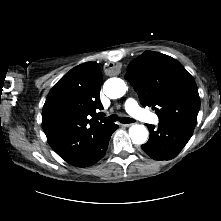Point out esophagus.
Here are the masks:
<instances>
[{"instance_id":"esophagus-1","label":"esophagus","mask_w":221,"mask_h":221,"mask_svg":"<svg viewBox=\"0 0 221 221\" xmlns=\"http://www.w3.org/2000/svg\"><path fill=\"white\" fill-rule=\"evenodd\" d=\"M121 125L124 126V127H130L132 124L129 123V124H121Z\"/></svg>"}]
</instances>
